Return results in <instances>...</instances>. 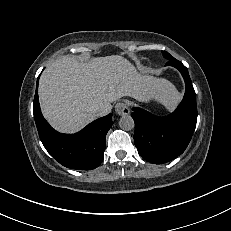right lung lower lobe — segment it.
Instances as JSON below:
<instances>
[{"label": "right lung lower lobe", "instance_id": "right-lung-lower-lobe-1", "mask_svg": "<svg viewBox=\"0 0 231 231\" xmlns=\"http://www.w3.org/2000/svg\"><path fill=\"white\" fill-rule=\"evenodd\" d=\"M37 88L33 103L34 118L45 149L67 168L92 170L98 167L104 159L106 134L113 124L112 114L93 121L76 134H61L43 118Z\"/></svg>", "mask_w": 231, "mask_h": 231}]
</instances>
